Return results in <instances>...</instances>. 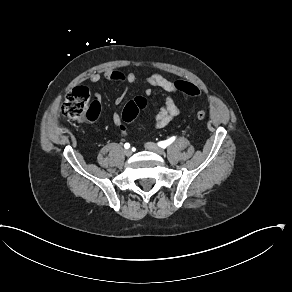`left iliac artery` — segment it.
Wrapping results in <instances>:
<instances>
[{
	"label": "left iliac artery",
	"mask_w": 292,
	"mask_h": 292,
	"mask_svg": "<svg viewBox=\"0 0 292 292\" xmlns=\"http://www.w3.org/2000/svg\"><path fill=\"white\" fill-rule=\"evenodd\" d=\"M176 139L175 136L167 139V140H164V141H160L158 142V145L161 147V148H166L168 145H170L172 142H174Z\"/></svg>",
	"instance_id": "left-iliac-artery-1"
}]
</instances>
